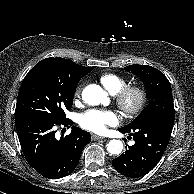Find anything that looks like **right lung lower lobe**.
Wrapping results in <instances>:
<instances>
[{
    "instance_id": "1",
    "label": "right lung lower lobe",
    "mask_w": 194,
    "mask_h": 194,
    "mask_svg": "<svg viewBox=\"0 0 194 194\" xmlns=\"http://www.w3.org/2000/svg\"><path fill=\"white\" fill-rule=\"evenodd\" d=\"M66 118L55 121L41 115H28L15 119V126L23 154L42 176L49 179L61 178L77 166L83 148L91 141L88 132L72 127L69 135L60 140L55 138V126H71Z\"/></svg>"
}]
</instances>
